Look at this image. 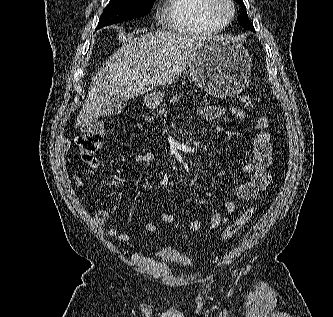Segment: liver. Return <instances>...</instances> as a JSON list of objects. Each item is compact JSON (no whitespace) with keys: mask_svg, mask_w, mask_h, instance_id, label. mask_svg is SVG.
<instances>
[{"mask_svg":"<svg viewBox=\"0 0 333 317\" xmlns=\"http://www.w3.org/2000/svg\"><path fill=\"white\" fill-rule=\"evenodd\" d=\"M212 38L156 31L129 39L93 77L76 126L89 127L99 118L103 103L113 96L131 99L175 82L198 49Z\"/></svg>","mask_w":333,"mask_h":317,"instance_id":"liver-1","label":"liver"}]
</instances>
